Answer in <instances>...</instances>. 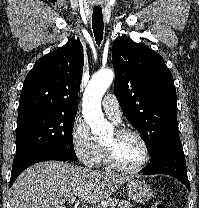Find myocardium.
<instances>
[{
	"label": "myocardium",
	"instance_id": "f54148a6",
	"mask_svg": "<svg viewBox=\"0 0 199 208\" xmlns=\"http://www.w3.org/2000/svg\"><path fill=\"white\" fill-rule=\"evenodd\" d=\"M114 131H115L116 136H118V137L123 136V135L135 136L141 142V144L143 146L144 159L142 160V162L140 164H138L135 167H132V168L126 167V166L122 165L117 160V158L114 154L112 145L103 143L105 163L109 167H111L115 170L124 172V173L133 174V173H137V172L141 171L150 162V159H151L150 148H149V145H148L146 139L143 137V135L140 132H138L135 129L128 128V127L116 128Z\"/></svg>",
	"mask_w": 199,
	"mask_h": 208
}]
</instances>
